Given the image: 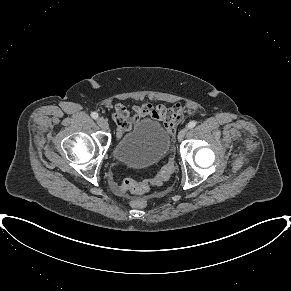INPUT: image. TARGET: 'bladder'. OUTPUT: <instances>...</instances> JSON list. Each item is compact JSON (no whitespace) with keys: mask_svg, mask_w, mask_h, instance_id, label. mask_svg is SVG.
<instances>
[{"mask_svg":"<svg viewBox=\"0 0 291 291\" xmlns=\"http://www.w3.org/2000/svg\"><path fill=\"white\" fill-rule=\"evenodd\" d=\"M170 136L151 119L137 122L114 145L113 158L126 166L143 168L160 162L170 151Z\"/></svg>","mask_w":291,"mask_h":291,"instance_id":"bladder-1","label":"bladder"}]
</instances>
